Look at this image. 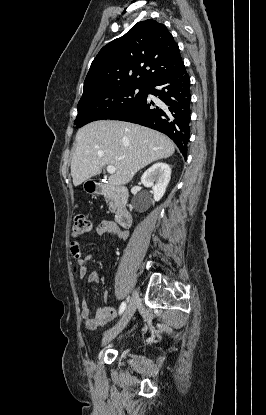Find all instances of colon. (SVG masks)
Listing matches in <instances>:
<instances>
[{"mask_svg": "<svg viewBox=\"0 0 266 415\" xmlns=\"http://www.w3.org/2000/svg\"><path fill=\"white\" fill-rule=\"evenodd\" d=\"M91 228V222L85 216L78 215L73 220L72 234L75 237L82 236L90 233Z\"/></svg>", "mask_w": 266, "mask_h": 415, "instance_id": "obj_1", "label": "colon"}]
</instances>
